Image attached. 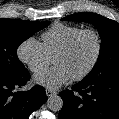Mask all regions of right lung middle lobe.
I'll return each instance as SVG.
<instances>
[{
    "mask_svg": "<svg viewBox=\"0 0 119 119\" xmlns=\"http://www.w3.org/2000/svg\"><path fill=\"white\" fill-rule=\"evenodd\" d=\"M50 22L0 19V77L18 75L26 70L17 57L18 46Z\"/></svg>",
    "mask_w": 119,
    "mask_h": 119,
    "instance_id": "dd1d6c3e",
    "label": "right lung middle lobe"
}]
</instances>
